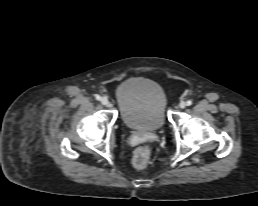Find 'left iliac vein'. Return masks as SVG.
<instances>
[{
  "instance_id": "obj_1",
  "label": "left iliac vein",
  "mask_w": 258,
  "mask_h": 206,
  "mask_svg": "<svg viewBox=\"0 0 258 206\" xmlns=\"http://www.w3.org/2000/svg\"><path fill=\"white\" fill-rule=\"evenodd\" d=\"M186 105H187L186 102L182 101V102H180L179 107L180 108H185Z\"/></svg>"
}]
</instances>
